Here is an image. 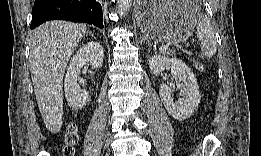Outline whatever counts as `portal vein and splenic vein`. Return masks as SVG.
Listing matches in <instances>:
<instances>
[{
  "instance_id": "obj_1",
  "label": "portal vein and splenic vein",
  "mask_w": 261,
  "mask_h": 156,
  "mask_svg": "<svg viewBox=\"0 0 261 156\" xmlns=\"http://www.w3.org/2000/svg\"><path fill=\"white\" fill-rule=\"evenodd\" d=\"M167 49H168V45L167 44H165V45H163L161 48H160V52H166L167 51Z\"/></svg>"
}]
</instances>
